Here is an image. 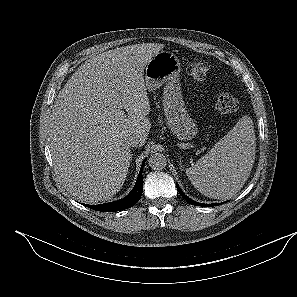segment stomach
Returning a JSON list of instances; mask_svg holds the SVG:
<instances>
[{"label":"stomach","mask_w":297,"mask_h":297,"mask_svg":"<svg viewBox=\"0 0 297 297\" xmlns=\"http://www.w3.org/2000/svg\"><path fill=\"white\" fill-rule=\"evenodd\" d=\"M181 63L178 57L161 50L145 66V86L149 91L164 87L163 109L171 132L179 140H191L197 133L195 121L186 110L179 84Z\"/></svg>","instance_id":"stomach-1"}]
</instances>
